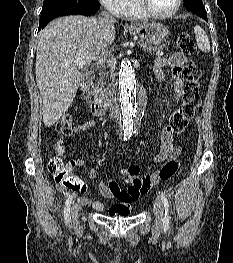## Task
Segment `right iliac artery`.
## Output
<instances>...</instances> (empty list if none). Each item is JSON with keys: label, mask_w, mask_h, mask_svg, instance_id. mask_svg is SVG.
I'll use <instances>...</instances> for the list:
<instances>
[{"label": "right iliac artery", "mask_w": 233, "mask_h": 263, "mask_svg": "<svg viewBox=\"0 0 233 263\" xmlns=\"http://www.w3.org/2000/svg\"><path fill=\"white\" fill-rule=\"evenodd\" d=\"M131 137L130 133H124V141H127ZM74 197V194L70 195L69 198L65 202L64 206V219L66 220V223H70V205L71 201Z\"/></svg>", "instance_id": "right-iliac-artery-1"}]
</instances>
